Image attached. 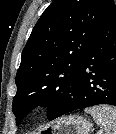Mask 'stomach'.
Wrapping results in <instances>:
<instances>
[{
  "label": "stomach",
  "mask_w": 116,
  "mask_h": 134,
  "mask_svg": "<svg viewBox=\"0 0 116 134\" xmlns=\"http://www.w3.org/2000/svg\"><path fill=\"white\" fill-rule=\"evenodd\" d=\"M91 123L81 116H66L47 124L38 134H89Z\"/></svg>",
  "instance_id": "1"
}]
</instances>
